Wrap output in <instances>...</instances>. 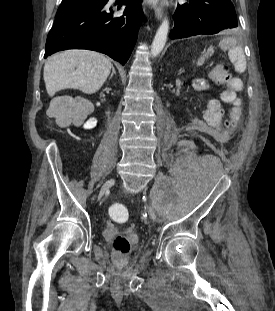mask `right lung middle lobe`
<instances>
[{
	"instance_id": "1",
	"label": "right lung middle lobe",
	"mask_w": 275,
	"mask_h": 311,
	"mask_svg": "<svg viewBox=\"0 0 275 311\" xmlns=\"http://www.w3.org/2000/svg\"><path fill=\"white\" fill-rule=\"evenodd\" d=\"M106 0H69L63 1L61 6L59 7L56 16H59L65 12L84 8L88 6H96V5H103Z\"/></svg>"
}]
</instances>
